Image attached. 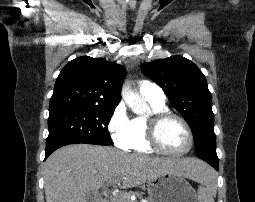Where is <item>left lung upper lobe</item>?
<instances>
[{
	"instance_id": "obj_1",
	"label": "left lung upper lobe",
	"mask_w": 255,
	"mask_h": 202,
	"mask_svg": "<svg viewBox=\"0 0 255 202\" xmlns=\"http://www.w3.org/2000/svg\"><path fill=\"white\" fill-rule=\"evenodd\" d=\"M141 70L162 87L170 103L190 125L197 156L217 162L211 94L199 68L182 56H171L143 63Z\"/></svg>"
}]
</instances>
